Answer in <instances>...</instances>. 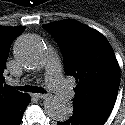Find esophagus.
<instances>
[{
    "instance_id": "1",
    "label": "esophagus",
    "mask_w": 125,
    "mask_h": 125,
    "mask_svg": "<svg viewBox=\"0 0 125 125\" xmlns=\"http://www.w3.org/2000/svg\"><path fill=\"white\" fill-rule=\"evenodd\" d=\"M33 97L39 98V99H44L48 96V94H32Z\"/></svg>"
}]
</instances>
